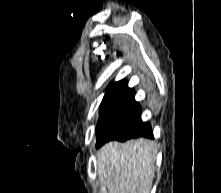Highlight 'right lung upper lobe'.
I'll list each match as a JSON object with an SVG mask.
<instances>
[{
	"label": "right lung upper lobe",
	"mask_w": 221,
	"mask_h": 193,
	"mask_svg": "<svg viewBox=\"0 0 221 193\" xmlns=\"http://www.w3.org/2000/svg\"><path fill=\"white\" fill-rule=\"evenodd\" d=\"M135 102L134 92L128 88L127 82L121 80L113 82L106 90V94L101 102L100 111L114 105Z\"/></svg>",
	"instance_id": "right-lung-upper-lobe-1"
}]
</instances>
